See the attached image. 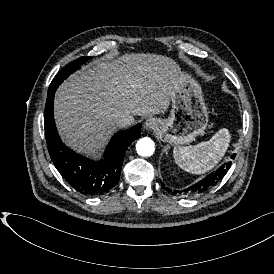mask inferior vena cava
<instances>
[{"label":"inferior vena cava","mask_w":274,"mask_h":274,"mask_svg":"<svg viewBox=\"0 0 274 274\" xmlns=\"http://www.w3.org/2000/svg\"><path fill=\"white\" fill-rule=\"evenodd\" d=\"M135 122V118L130 114H122L120 119L117 120V124L119 127L129 126Z\"/></svg>","instance_id":"602c4592"}]
</instances>
